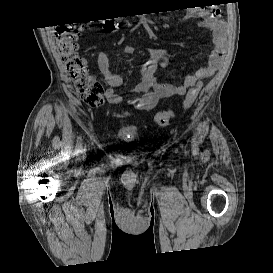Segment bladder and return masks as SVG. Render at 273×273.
Returning a JSON list of instances; mask_svg holds the SVG:
<instances>
[{"label": "bladder", "instance_id": "31cf9c89", "mask_svg": "<svg viewBox=\"0 0 273 273\" xmlns=\"http://www.w3.org/2000/svg\"><path fill=\"white\" fill-rule=\"evenodd\" d=\"M122 140L135 141L139 136V131L135 126L124 125L121 126L117 133Z\"/></svg>", "mask_w": 273, "mask_h": 273}]
</instances>
